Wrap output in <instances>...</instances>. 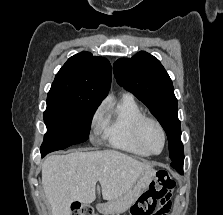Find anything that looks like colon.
<instances>
[{
  "mask_svg": "<svg viewBox=\"0 0 223 215\" xmlns=\"http://www.w3.org/2000/svg\"><path fill=\"white\" fill-rule=\"evenodd\" d=\"M176 185L173 177L166 170L156 172L155 179L131 208V215H157L164 214L166 205L163 203ZM72 215H98L87 204L74 203L71 206Z\"/></svg>",
  "mask_w": 223,
  "mask_h": 215,
  "instance_id": "5ec220e1",
  "label": "colon"
}]
</instances>
